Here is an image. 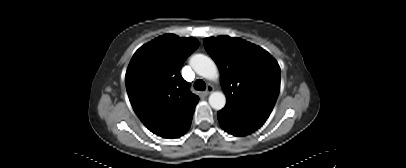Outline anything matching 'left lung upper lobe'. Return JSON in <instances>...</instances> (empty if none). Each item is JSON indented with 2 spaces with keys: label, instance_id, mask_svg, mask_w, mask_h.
<instances>
[{
  "label": "left lung upper lobe",
  "instance_id": "5c2ea615",
  "mask_svg": "<svg viewBox=\"0 0 406 168\" xmlns=\"http://www.w3.org/2000/svg\"><path fill=\"white\" fill-rule=\"evenodd\" d=\"M204 46L220 70L226 106L267 119L280 90L277 61L240 38H205Z\"/></svg>",
  "mask_w": 406,
  "mask_h": 168
}]
</instances>
